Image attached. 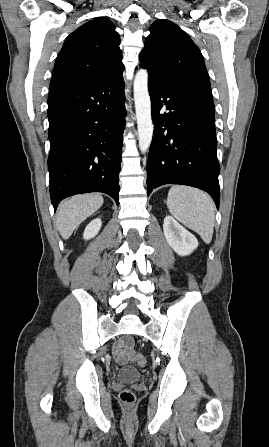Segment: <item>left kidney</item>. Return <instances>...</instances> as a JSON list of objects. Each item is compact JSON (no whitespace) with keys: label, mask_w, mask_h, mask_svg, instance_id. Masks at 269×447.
Wrapping results in <instances>:
<instances>
[{"label":"left kidney","mask_w":269,"mask_h":447,"mask_svg":"<svg viewBox=\"0 0 269 447\" xmlns=\"http://www.w3.org/2000/svg\"><path fill=\"white\" fill-rule=\"evenodd\" d=\"M164 235L167 243L171 245L172 249L179 253V255H189L193 249L198 247V239L185 229L183 225L178 224L172 216H166L163 224Z\"/></svg>","instance_id":"1"}]
</instances>
